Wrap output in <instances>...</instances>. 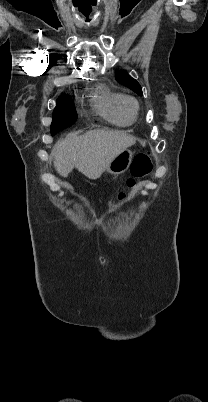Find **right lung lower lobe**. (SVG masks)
<instances>
[{"instance_id": "1", "label": "right lung lower lobe", "mask_w": 208, "mask_h": 402, "mask_svg": "<svg viewBox=\"0 0 208 402\" xmlns=\"http://www.w3.org/2000/svg\"><path fill=\"white\" fill-rule=\"evenodd\" d=\"M54 125H52V130H51V134L55 135L56 133H58L59 131L65 129L63 127H58L57 129H53ZM67 128V127H66Z\"/></svg>"}]
</instances>
